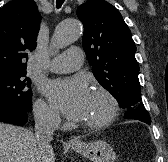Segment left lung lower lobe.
<instances>
[{"label":"left lung lower lobe","mask_w":168,"mask_h":162,"mask_svg":"<svg viewBox=\"0 0 168 162\" xmlns=\"http://www.w3.org/2000/svg\"><path fill=\"white\" fill-rule=\"evenodd\" d=\"M120 107L127 108V112L125 113L124 118L139 120L149 125L151 124V118L143 104H140V106L136 108L130 106H120Z\"/></svg>","instance_id":"1"}]
</instances>
